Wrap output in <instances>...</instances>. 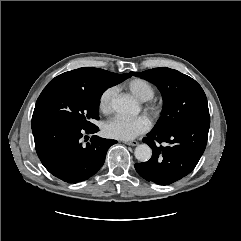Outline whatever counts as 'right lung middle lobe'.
Returning <instances> with one entry per match:
<instances>
[{"label": "right lung middle lobe", "mask_w": 241, "mask_h": 241, "mask_svg": "<svg viewBox=\"0 0 241 241\" xmlns=\"http://www.w3.org/2000/svg\"><path fill=\"white\" fill-rule=\"evenodd\" d=\"M117 82L103 80L96 86L84 88L75 84L51 81L37 99L32 116V129L54 125H73L81 129L96 126L93 119H99L100 97Z\"/></svg>", "instance_id": "right-lung-middle-lobe-1"}]
</instances>
